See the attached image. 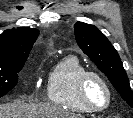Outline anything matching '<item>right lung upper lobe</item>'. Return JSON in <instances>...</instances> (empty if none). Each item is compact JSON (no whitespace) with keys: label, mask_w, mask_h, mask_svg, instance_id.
<instances>
[{"label":"right lung upper lobe","mask_w":133,"mask_h":118,"mask_svg":"<svg viewBox=\"0 0 133 118\" xmlns=\"http://www.w3.org/2000/svg\"><path fill=\"white\" fill-rule=\"evenodd\" d=\"M38 34L29 27L5 30L0 35V65L24 63Z\"/></svg>","instance_id":"1"}]
</instances>
